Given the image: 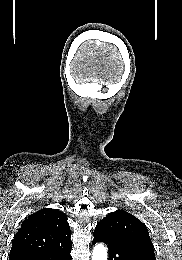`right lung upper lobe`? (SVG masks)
<instances>
[{
    "label": "right lung upper lobe",
    "mask_w": 182,
    "mask_h": 260,
    "mask_svg": "<svg viewBox=\"0 0 182 260\" xmlns=\"http://www.w3.org/2000/svg\"><path fill=\"white\" fill-rule=\"evenodd\" d=\"M67 216L56 209L45 208L29 215L16 233L9 260H23L71 244Z\"/></svg>",
    "instance_id": "obj_1"
}]
</instances>
